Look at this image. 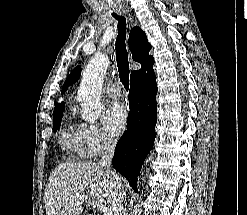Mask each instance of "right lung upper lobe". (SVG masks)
<instances>
[{
    "label": "right lung upper lobe",
    "instance_id": "obj_1",
    "mask_svg": "<svg viewBox=\"0 0 247 215\" xmlns=\"http://www.w3.org/2000/svg\"><path fill=\"white\" fill-rule=\"evenodd\" d=\"M128 44L133 60L140 62L142 67L154 60L153 57L149 55L151 44L148 43L145 32H143L139 27H134L130 31ZM134 72L135 71L132 73ZM63 109V102L56 104L54 108V114L63 112Z\"/></svg>",
    "mask_w": 247,
    "mask_h": 215
}]
</instances>
